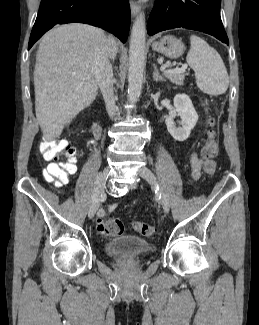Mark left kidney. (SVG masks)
<instances>
[{
    "label": "left kidney",
    "mask_w": 259,
    "mask_h": 325,
    "mask_svg": "<svg viewBox=\"0 0 259 325\" xmlns=\"http://www.w3.org/2000/svg\"><path fill=\"white\" fill-rule=\"evenodd\" d=\"M179 116L181 118V127L175 126L174 118ZM198 121V114L192 104V101L186 94H177L174 97V108L170 110L166 117L165 123L170 135L177 141H185L191 130L195 127Z\"/></svg>",
    "instance_id": "5707ae66"
}]
</instances>
